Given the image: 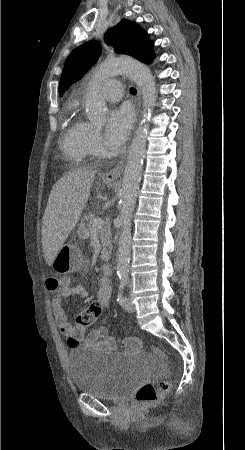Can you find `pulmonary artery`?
Here are the masks:
<instances>
[{
	"mask_svg": "<svg viewBox=\"0 0 245 450\" xmlns=\"http://www.w3.org/2000/svg\"><path fill=\"white\" fill-rule=\"evenodd\" d=\"M122 83L117 79H107L100 85V93L108 101H118L121 99Z\"/></svg>",
	"mask_w": 245,
	"mask_h": 450,
	"instance_id": "pulmonary-artery-1",
	"label": "pulmonary artery"
}]
</instances>
